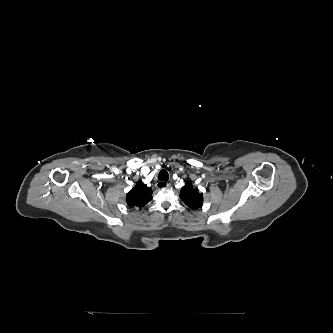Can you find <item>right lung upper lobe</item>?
Wrapping results in <instances>:
<instances>
[{
    "label": "right lung upper lobe",
    "instance_id": "obj_1",
    "mask_svg": "<svg viewBox=\"0 0 333 333\" xmlns=\"http://www.w3.org/2000/svg\"><path fill=\"white\" fill-rule=\"evenodd\" d=\"M152 190L142 182H137L136 186L129 191L126 202L131 208H141L152 199Z\"/></svg>",
    "mask_w": 333,
    "mask_h": 333
}]
</instances>
